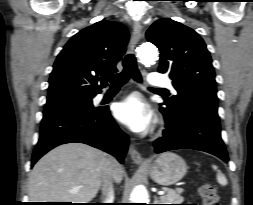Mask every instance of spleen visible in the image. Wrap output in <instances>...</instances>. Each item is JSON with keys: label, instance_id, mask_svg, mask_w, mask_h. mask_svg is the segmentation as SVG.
<instances>
[{"label": "spleen", "instance_id": "obj_1", "mask_svg": "<svg viewBox=\"0 0 253 205\" xmlns=\"http://www.w3.org/2000/svg\"><path fill=\"white\" fill-rule=\"evenodd\" d=\"M212 168L217 171V181L219 182V184L222 186H226L228 181L225 175L218 170L217 166L213 165Z\"/></svg>", "mask_w": 253, "mask_h": 205}]
</instances>
